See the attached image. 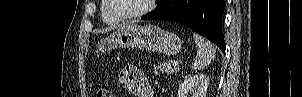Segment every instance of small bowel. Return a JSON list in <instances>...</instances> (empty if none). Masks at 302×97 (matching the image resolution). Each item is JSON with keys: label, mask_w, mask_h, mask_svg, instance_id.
<instances>
[{"label": "small bowel", "mask_w": 302, "mask_h": 97, "mask_svg": "<svg viewBox=\"0 0 302 97\" xmlns=\"http://www.w3.org/2000/svg\"><path fill=\"white\" fill-rule=\"evenodd\" d=\"M119 83L137 97H152L147 79L134 66L126 65L123 67L119 74Z\"/></svg>", "instance_id": "1"}]
</instances>
